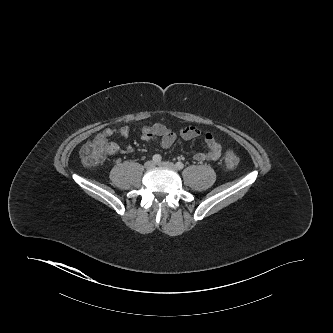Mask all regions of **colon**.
<instances>
[{
  "mask_svg": "<svg viewBox=\"0 0 333 333\" xmlns=\"http://www.w3.org/2000/svg\"><path fill=\"white\" fill-rule=\"evenodd\" d=\"M109 144L102 139H95L85 144L80 150V159L88 166L100 164L109 152ZM224 163L229 168H235L239 164V156L233 151L224 154Z\"/></svg>",
  "mask_w": 333,
  "mask_h": 333,
  "instance_id": "colon-1",
  "label": "colon"
}]
</instances>
